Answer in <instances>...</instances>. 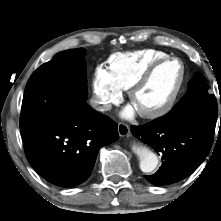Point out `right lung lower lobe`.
Listing matches in <instances>:
<instances>
[{
	"label": "right lung lower lobe",
	"instance_id": "obj_1",
	"mask_svg": "<svg viewBox=\"0 0 221 221\" xmlns=\"http://www.w3.org/2000/svg\"><path fill=\"white\" fill-rule=\"evenodd\" d=\"M28 162L48 182L72 187L90 176L100 147L119 138L117 124L85 101L62 119L22 133Z\"/></svg>",
	"mask_w": 221,
	"mask_h": 221
}]
</instances>
